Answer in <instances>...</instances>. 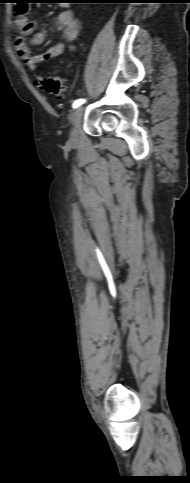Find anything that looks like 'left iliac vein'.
Returning <instances> with one entry per match:
<instances>
[{
  "label": "left iliac vein",
  "mask_w": 190,
  "mask_h": 483,
  "mask_svg": "<svg viewBox=\"0 0 190 483\" xmlns=\"http://www.w3.org/2000/svg\"><path fill=\"white\" fill-rule=\"evenodd\" d=\"M83 113V107H77L71 116L72 130L70 135V143H76L79 139V130L81 125V117Z\"/></svg>",
  "instance_id": "obj_1"
}]
</instances>
